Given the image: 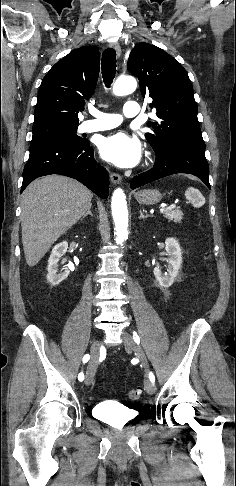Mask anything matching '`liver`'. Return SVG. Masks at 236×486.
<instances>
[{
	"label": "liver",
	"instance_id": "1",
	"mask_svg": "<svg viewBox=\"0 0 236 486\" xmlns=\"http://www.w3.org/2000/svg\"><path fill=\"white\" fill-rule=\"evenodd\" d=\"M92 197L81 183L60 175L36 179L25 189L21 207L22 244L30 267L86 213Z\"/></svg>",
	"mask_w": 236,
	"mask_h": 486
}]
</instances>
